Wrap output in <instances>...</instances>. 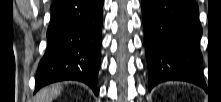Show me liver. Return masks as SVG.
Masks as SVG:
<instances>
[{
    "instance_id": "liver-1",
    "label": "liver",
    "mask_w": 221,
    "mask_h": 102,
    "mask_svg": "<svg viewBox=\"0 0 221 102\" xmlns=\"http://www.w3.org/2000/svg\"><path fill=\"white\" fill-rule=\"evenodd\" d=\"M61 90L62 87L59 85L45 87L36 94L35 100L36 102H51L60 94Z\"/></svg>"
}]
</instances>
